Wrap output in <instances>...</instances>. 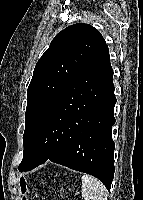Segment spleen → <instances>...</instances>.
<instances>
[{"label": "spleen", "instance_id": "1", "mask_svg": "<svg viewBox=\"0 0 143 200\" xmlns=\"http://www.w3.org/2000/svg\"><path fill=\"white\" fill-rule=\"evenodd\" d=\"M82 181V197L84 200H107V190L97 178L84 174Z\"/></svg>", "mask_w": 143, "mask_h": 200}]
</instances>
